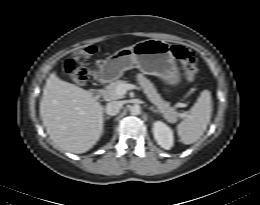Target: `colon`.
Segmentation results:
<instances>
[{
	"label": "colon",
	"mask_w": 260,
	"mask_h": 205,
	"mask_svg": "<svg viewBox=\"0 0 260 205\" xmlns=\"http://www.w3.org/2000/svg\"><path fill=\"white\" fill-rule=\"evenodd\" d=\"M174 57L183 65L188 81H194L198 68L194 54L186 47L174 45L172 48ZM96 53L93 45L85 46L73 51L70 58L64 62V71L74 84L84 85L88 79V69L84 66Z\"/></svg>",
	"instance_id": "obj_1"
}]
</instances>
